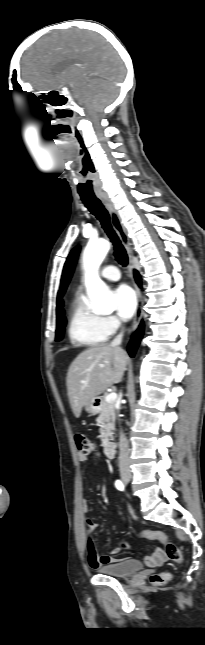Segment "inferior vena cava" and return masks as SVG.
Listing matches in <instances>:
<instances>
[{
	"label": "inferior vena cava",
	"instance_id": "obj_1",
	"mask_svg": "<svg viewBox=\"0 0 205 645\" xmlns=\"http://www.w3.org/2000/svg\"><path fill=\"white\" fill-rule=\"evenodd\" d=\"M123 332L118 334L111 342L112 346L121 345ZM119 468L121 472H130L129 446L125 434L121 431L119 438Z\"/></svg>",
	"mask_w": 205,
	"mask_h": 645
}]
</instances>
